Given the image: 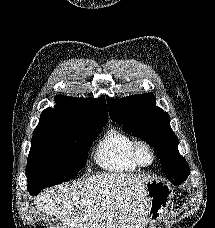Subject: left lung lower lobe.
Here are the masks:
<instances>
[{
  "label": "left lung lower lobe",
  "instance_id": "1",
  "mask_svg": "<svg viewBox=\"0 0 215 228\" xmlns=\"http://www.w3.org/2000/svg\"><path fill=\"white\" fill-rule=\"evenodd\" d=\"M183 182H184V181L173 182V184L177 186V185H180V184H182Z\"/></svg>",
  "mask_w": 215,
  "mask_h": 228
}]
</instances>
